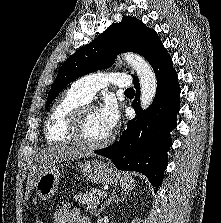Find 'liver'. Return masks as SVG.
Here are the masks:
<instances>
[{
    "instance_id": "6515ba94",
    "label": "liver",
    "mask_w": 221,
    "mask_h": 223,
    "mask_svg": "<svg viewBox=\"0 0 221 223\" xmlns=\"http://www.w3.org/2000/svg\"><path fill=\"white\" fill-rule=\"evenodd\" d=\"M89 155L90 152L88 150L65 144H56L41 150L36 155L32 172L28 176L26 199L30 197L33 186L43 170L62 161L78 159Z\"/></svg>"
}]
</instances>
